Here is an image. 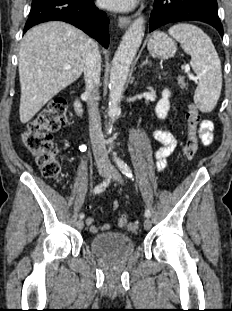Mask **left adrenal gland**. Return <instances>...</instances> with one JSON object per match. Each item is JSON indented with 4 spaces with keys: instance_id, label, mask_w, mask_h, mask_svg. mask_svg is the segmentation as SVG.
<instances>
[{
    "instance_id": "left-adrenal-gland-1",
    "label": "left adrenal gland",
    "mask_w": 232,
    "mask_h": 311,
    "mask_svg": "<svg viewBox=\"0 0 232 311\" xmlns=\"http://www.w3.org/2000/svg\"><path fill=\"white\" fill-rule=\"evenodd\" d=\"M146 64H151V62L149 61L148 57H146L145 61L142 62L140 67L142 68Z\"/></svg>"
}]
</instances>
